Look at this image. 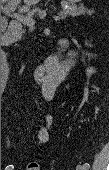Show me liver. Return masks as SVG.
<instances>
[{
  "instance_id": "1",
  "label": "liver",
  "mask_w": 109,
  "mask_h": 170,
  "mask_svg": "<svg viewBox=\"0 0 109 170\" xmlns=\"http://www.w3.org/2000/svg\"><path fill=\"white\" fill-rule=\"evenodd\" d=\"M4 2H9V4L12 3H20L21 0H3ZM18 1V2H17ZM40 0H24L26 6H23L20 11L26 12L29 10V6L38 3Z\"/></svg>"
}]
</instances>
